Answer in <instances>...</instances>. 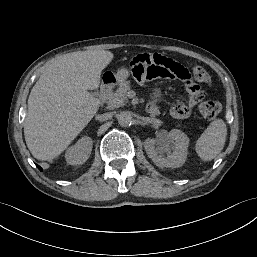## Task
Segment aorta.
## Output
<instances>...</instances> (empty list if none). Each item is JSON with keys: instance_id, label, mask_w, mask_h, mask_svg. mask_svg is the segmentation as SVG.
Returning a JSON list of instances; mask_svg holds the SVG:
<instances>
[{"instance_id": "762f6f07", "label": "aorta", "mask_w": 257, "mask_h": 257, "mask_svg": "<svg viewBox=\"0 0 257 257\" xmlns=\"http://www.w3.org/2000/svg\"><path fill=\"white\" fill-rule=\"evenodd\" d=\"M118 123L122 127H128L133 123V117L129 111H122L117 115Z\"/></svg>"}]
</instances>
